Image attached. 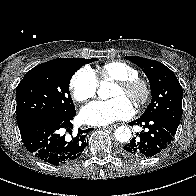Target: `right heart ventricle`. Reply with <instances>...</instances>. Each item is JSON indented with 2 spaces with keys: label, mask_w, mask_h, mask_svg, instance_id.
I'll return each instance as SVG.
<instances>
[{
  "label": "right heart ventricle",
  "mask_w": 196,
  "mask_h": 196,
  "mask_svg": "<svg viewBox=\"0 0 196 196\" xmlns=\"http://www.w3.org/2000/svg\"><path fill=\"white\" fill-rule=\"evenodd\" d=\"M99 73L101 79L115 81L138 76V70L123 61L108 62L100 68Z\"/></svg>",
  "instance_id": "e07e8e85"
}]
</instances>
